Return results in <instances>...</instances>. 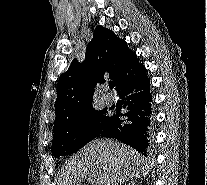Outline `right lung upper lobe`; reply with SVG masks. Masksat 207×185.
<instances>
[{
	"instance_id": "obj_1",
	"label": "right lung upper lobe",
	"mask_w": 207,
	"mask_h": 185,
	"mask_svg": "<svg viewBox=\"0 0 207 185\" xmlns=\"http://www.w3.org/2000/svg\"><path fill=\"white\" fill-rule=\"evenodd\" d=\"M144 71V65L137 61V55L124 40L111 30L97 26L87 46L85 60L80 63L74 59L59 78L54 128L95 110L92 106L95 88L106 79H111L117 87Z\"/></svg>"
}]
</instances>
